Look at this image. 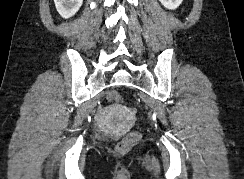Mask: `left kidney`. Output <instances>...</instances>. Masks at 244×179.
<instances>
[{
  "mask_svg": "<svg viewBox=\"0 0 244 179\" xmlns=\"http://www.w3.org/2000/svg\"><path fill=\"white\" fill-rule=\"evenodd\" d=\"M164 8L167 10H176L180 4H182L183 0H159Z\"/></svg>",
  "mask_w": 244,
  "mask_h": 179,
  "instance_id": "1",
  "label": "left kidney"
}]
</instances>
